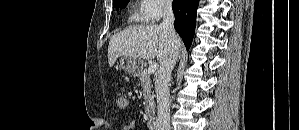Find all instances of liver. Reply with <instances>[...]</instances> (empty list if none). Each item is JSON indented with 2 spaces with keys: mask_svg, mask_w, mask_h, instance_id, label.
<instances>
[{
  "mask_svg": "<svg viewBox=\"0 0 299 130\" xmlns=\"http://www.w3.org/2000/svg\"><path fill=\"white\" fill-rule=\"evenodd\" d=\"M169 51V35L161 25L131 26L110 38L108 62L112 67L120 56L163 61Z\"/></svg>",
  "mask_w": 299,
  "mask_h": 130,
  "instance_id": "6515ba94",
  "label": "liver"
}]
</instances>
